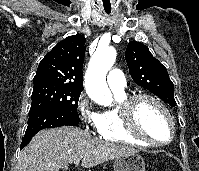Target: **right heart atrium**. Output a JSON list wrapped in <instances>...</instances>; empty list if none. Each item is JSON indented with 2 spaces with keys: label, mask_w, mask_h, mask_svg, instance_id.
Segmentation results:
<instances>
[{
  "label": "right heart atrium",
  "mask_w": 199,
  "mask_h": 171,
  "mask_svg": "<svg viewBox=\"0 0 199 171\" xmlns=\"http://www.w3.org/2000/svg\"><path fill=\"white\" fill-rule=\"evenodd\" d=\"M79 118L85 127L98 131L101 122V114L94 108L90 98L85 92H82L76 102Z\"/></svg>",
  "instance_id": "1"
}]
</instances>
